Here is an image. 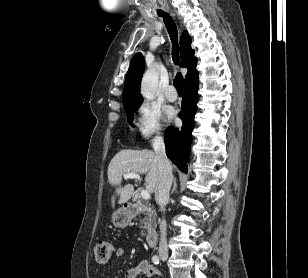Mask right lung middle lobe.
Here are the masks:
<instances>
[{
	"label": "right lung middle lobe",
	"instance_id": "1",
	"mask_svg": "<svg viewBox=\"0 0 308 278\" xmlns=\"http://www.w3.org/2000/svg\"><path fill=\"white\" fill-rule=\"evenodd\" d=\"M139 106H131L129 108H126V113H127V120L129 123L132 121L133 114L135 111L138 109Z\"/></svg>",
	"mask_w": 308,
	"mask_h": 278
}]
</instances>
